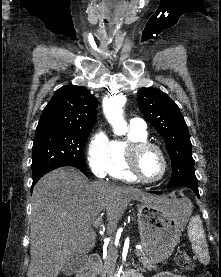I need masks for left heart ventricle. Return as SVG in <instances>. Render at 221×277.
Segmentation results:
<instances>
[{
    "mask_svg": "<svg viewBox=\"0 0 221 277\" xmlns=\"http://www.w3.org/2000/svg\"><path fill=\"white\" fill-rule=\"evenodd\" d=\"M139 167L141 173L148 179H155L162 172V160L159 154L153 150H147L140 158Z\"/></svg>",
    "mask_w": 221,
    "mask_h": 277,
    "instance_id": "b2bd125f",
    "label": "left heart ventricle"
}]
</instances>
